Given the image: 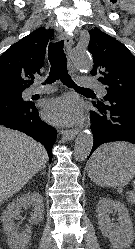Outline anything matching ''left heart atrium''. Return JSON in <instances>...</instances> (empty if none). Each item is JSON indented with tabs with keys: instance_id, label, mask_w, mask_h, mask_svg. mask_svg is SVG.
<instances>
[{
	"instance_id": "left-heart-atrium-1",
	"label": "left heart atrium",
	"mask_w": 135,
	"mask_h": 249,
	"mask_svg": "<svg viewBox=\"0 0 135 249\" xmlns=\"http://www.w3.org/2000/svg\"><path fill=\"white\" fill-rule=\"evenodd\" d=\"M46 118L58 125H70L81 121L82 111L78 100L65 95L48 101L44 107Z\"/></svg>"
}]
</instances>
